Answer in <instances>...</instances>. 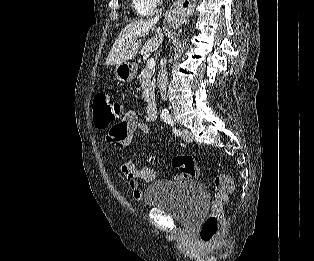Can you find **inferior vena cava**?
<instances>
[{"label":"inferior vena cava","instance_id":"obj_1","mask_svg":"<svg viewBox=\"0 0 314 261\" xmlns=\"http://www.w3.org/2000/svg\"><path fill=\"white\" fill-rule=\"evenodd\" d=\"M159 17V16H158ZM157 17V18H158ZM156 18V19H157ZM158 90L161 95L162 100H166V91H167V84H168V75H167V70H166V65L162 64L161 68L158 72Z\"/></svg>","mask_w":314,"mask_h":261}]
</instances>
